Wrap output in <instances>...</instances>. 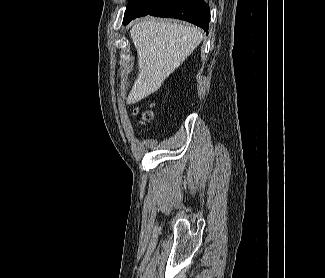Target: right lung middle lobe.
Returning a JSON list of instances; mask_svg holds the SVG:
<instances>
[{
	"label": "right lung middle lobe",
	"mask_w": 325,
	"mask_h": 278,
	"mask_svg": "<svg viewBox=\"0 0 325 278\" xmlns=\"http://www.w3.org/2000/svg\"><path fill=\"white\" fill-rule=\"evenodd\" d=\"M134 4H135V0H129L126 11H125V17L130 16L131 13L134 11Z\"/></svg>",
	"instance_id": "1"
}]
</instances>
